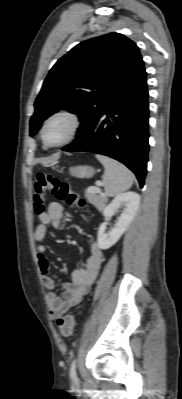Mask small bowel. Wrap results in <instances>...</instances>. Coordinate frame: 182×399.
I'll return each mask as SVG.
<instances>
[{"label":"small bowel","instance_id":"small-bowel-1","mask_svg":"<svg viewBox=\"0 0 182 399\" xmlns=\"http://www.w3.org/2000/svg\"><path fill=\"white\" fill-rule=\"evenodd\" d=\"M65 223L64 208L61 203L53 201L46 212L39 216V224L34 231V238L43 241L48 232V226L61 229ZM48 246L39 244L37 257L39 269L42 273V282L49 290L46 299L49 313L52 319H57L76 306L89 291L94 282L102 262V250L97 242L90 245V254L84 266L72 273V282L63 285L62 294L55 293V281L50 276V260L48 258Z\"/></svg>","mask_w":182,"mask_h":399}]
</instances>
